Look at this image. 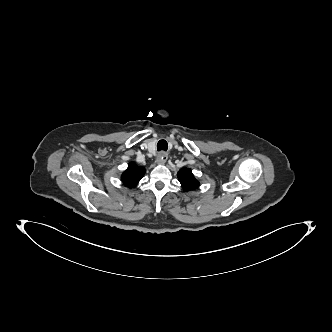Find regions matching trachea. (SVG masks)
<instances>
[{
  "mask_svg": "<svg viewBox=\"0 0 332 332\" xmlns=\"http://www.w3.org/2000/svg\"><path fill=\"white\" fill-rule=\"evenodd\" d=\"M168 149V143L166 140H160L157 143V150L158 151H167Z\"/></svg>",
  "mask_w": 332,
  "mask_h": 332,
  "instance_id": "3493384b",
  "label": "trachea"
}]
</instances>
